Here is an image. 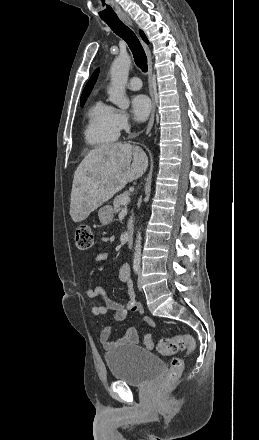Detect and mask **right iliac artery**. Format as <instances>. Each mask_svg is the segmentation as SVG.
Listing matches in <instances>:
<instances>
[{
  "label": "right iliac artery",
  "mask_w": 259,
  "mask_h": 440,
  "mask_svg": "<svg viewBox=\"0 0 259 440\" xmlns=\"http://www.w3.org/2000/svg\"><path fill=\"white\" fill-rule=\"evenodd\" d=\"M139 269H140V266H139L138 264H134V266H133V270H134V273H135V274H138V273H139Z\"/></svg>",
  "instance_id": "obj_1"
}]
</instances>
